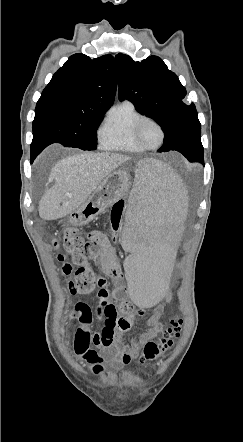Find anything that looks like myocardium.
Segmentation results:
<instances>
[{
	"mask_svg": "<svg viewBox=\"0 0 243 442\" xmlns=\"http://www.w3.org/2000/svg\"><path fill=\"white\" fill-rule=\"evenodd\" d=\"M146 122H152V123H154V124L159 128V131H160V133H161L160 141H159L156 145H154V146L146 145V144L142 141V139H141V137H140V129H141V126H142L144 123H146ZM133 135H134V139H135L136 143H137L140 147H142L144 150H155V149L159 148V147L164 143L165 138H166V131H165L164 126L162 125V123H161L158 119H156V118H154V117H152V116H146V115H144V116H142L141 118H139V119L137 120V122L135 123L134 130H133Z\"/></svg>",
	"mask_w": 243,
	"mask_h": 442,
	"instance_id": "obj_1",
	"label": "myocardium"
}]
</instances>
